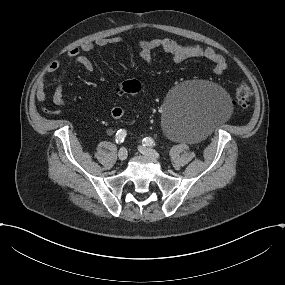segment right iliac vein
I'll return each mask as SVG.
<instances>
[{"instance_id":"obj_1","label":"right iliac vein","mask_w":285,"mask_h":285,"mask_svg":"<svg viewBox=\"0 0 285 285\" xmlns=\"http://www.w3.org/2000/svg\"><path fill=\"white\" fill-rule=\"evenodd\" d=\"M127 156H128V152H127L126 148H121L118 152V158L121 161H125L127 159Z\"/></svg>"}]
</instances>
